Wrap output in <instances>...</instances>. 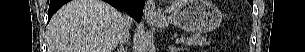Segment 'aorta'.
Masks as SVG:
<instances>
[{"instance_id":"1","label":"aorta","mask_w":305,"mask_h":52,"mask_svg":"<svg viewBox=\"0 0 305 52\" xmlns=\"http://www.w3.org/2000/svg\"><path fill=\"white\" fill-rule=\"evenodd\" d=\"M150 50H151V47L145 39H142L141 41H139L138 46H137V52H150Z\"/></svg>"}]
</instances>
